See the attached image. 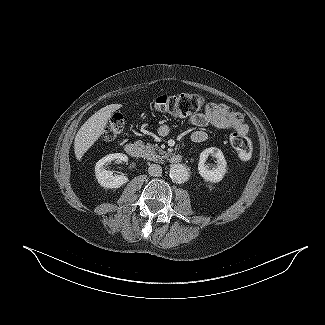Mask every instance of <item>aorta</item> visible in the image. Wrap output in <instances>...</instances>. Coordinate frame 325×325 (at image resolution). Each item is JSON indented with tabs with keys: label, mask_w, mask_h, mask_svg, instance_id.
<instances>
[{
	"label": "aorta",
	"mask_w": 325,
	"mask_h": 325,
	"mask_svg": "<svg viewBox=\"0 0 325 325\" xmlns=\"http://www.w3.org/2000/svg\"><path fill=\"white\" fill-rule=\"evenodd\" d=\"M169 176L173 182L183 183L188 180V169L182 164H175L170 168Z\"/></svg>",
	"instance_id": "obj_1"
}]
</instances>
